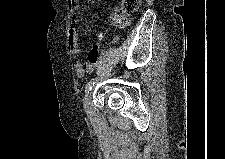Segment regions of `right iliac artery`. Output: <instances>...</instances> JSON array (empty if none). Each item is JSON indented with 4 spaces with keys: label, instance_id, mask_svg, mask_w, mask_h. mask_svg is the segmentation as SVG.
Returning a JSON list of instances; mask_svg holds the SVG:
<instances>
[{
    "label": "right iliac artery",
    "instance_id": "82829eb1",
    "mask_svg": "<svg viewBox=\"0 0 225 159\" xmlns=\"http://www.w3.org/2000/svg\"><path fill=\"white\" fill-rule=\"evenodd\" d=\"M94 84H95V79L93 78L86 85L85 92L89 93V91L92 89V86H94Z\"/></svg>",
    "mask_w": 225,
    "mask_h": 159
}]
</instances>
